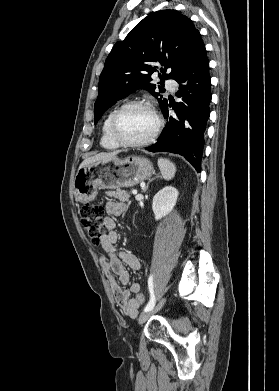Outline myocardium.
<instances>
[{"label":"myocardium","mask_w":279,"mask_h":391,"mask_svg":"<svg viewBox=\"0 0 279 391\" xmlns=\"http://www.w3.org/2000/svg\"><path fill=\"white\" fill-rule=\"evenodd\" d=\"M129 107H145L148 110H150V112L154 116L155 121H156V125H155L153 132L151 133V135L148 138L141 140V141L132 142V141L124 140L118 134V132H117L118 118H119L120 114L125 109H127ZM162 126H163V121H162L160 115L158 114L157 110L155 109L154 105L151 102H149L147 100H131V101L125 102L124 104H122L121 106H119L118 108L115 109V111L112 114L111 120H110L109 133H110L111 138L120 146L130 147V148H139V147L147 146V145L151 144L152 142H154L155 139L158 137V135L162 129Z\"/></svg>","instance_id":"obj_1"}]
</instances>
